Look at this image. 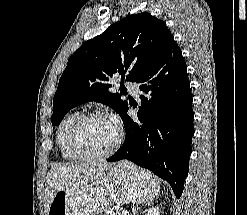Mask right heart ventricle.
Masks as SVG:
<instances>
[{"label":"right heart ventricle","instance_id":"1","mask_svg":"<svg viewBox=\"0 0 247 215\" xmlns=\"http://www.w3.org/2000/svg\"><path fill=\"white\" fill-rule=\"evenodd\" d=\"M79 116L78 112H71L67 114L59 123L57 133H56V141L60 151L62 158L66 161H78L80 160L76 157L69 145V132L71 129L72 124Z\"/></svg>","mask_w":247,"mask_h":215}]
</instances>
